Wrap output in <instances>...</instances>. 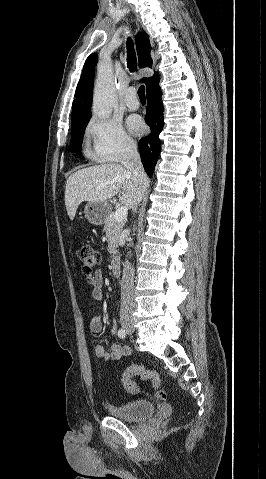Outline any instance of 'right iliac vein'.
<instances>
[{
	"label": "right iliac vein",
	"instance_id": "63e3f726",
	"mask_svg": "<svg viewBox=\"0 0 266 479\" xmlns=\"http://www.w3.org/2000/svg\"><path fill=\"white\" fill-rule=\"evenodd\" d=\"M123 327H124L127 331L133 330V324H132L131 322H125V323H123Z\"/></svg>",
	"mask_w": 266,
	"mask_h": 479
}]
</instances>
